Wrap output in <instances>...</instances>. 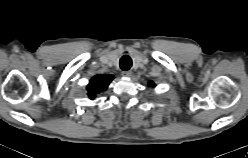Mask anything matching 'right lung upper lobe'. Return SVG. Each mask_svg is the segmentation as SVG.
<instances>
[{
	"instance_id": "obj_1",
	"label": "right lung upper lobe",
	"mask_w": 248,
	"mask_h": 158,
	"mask_svg": "<svg viewBox=\"0 0 248 158\" xmlns=\"http://www.w3.org/2000/svg\"><path fill=\"white\" fill-rule=\"evenodd\" d=\"M113 78L112 75L94 76L87 86L88 96L90 99H94L99 93L106 90Z\"/></svg>"
}]
</instances>
